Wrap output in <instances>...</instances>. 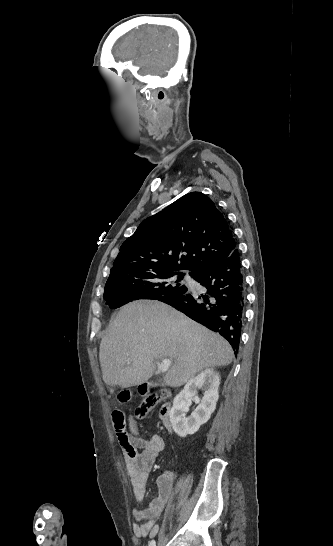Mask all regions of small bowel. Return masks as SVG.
Segmentation results:
<instances>
[{
    "instance_id": "small-bowel-1",
    "label": "small bowel",
    "mask_w": 333,
    "mask_h": 546,
    "mask_svg": "<svg viewBox=\"0 0 333 546\" xmlns=\"http://www.w3.org/2000/svg\"><path fill=\"white\" fill-rule=\"evenodd\" d=\"M129 434L136 449H140L133 457L125 453L126 470L131 479L135 501L139 504L144 498L151 469L158 455L164 450L165 442L160 435H153L149 439L142 438L132 417L129 418ZM171 495V475L166 474L159 478L158 493L148 507L134 510L136 523L133 525V531L137 537H146L157 532L156 521Z\"/></svg>"
}]
</instances>
